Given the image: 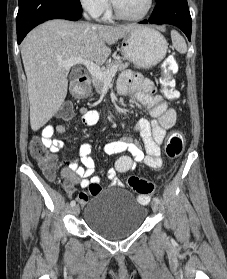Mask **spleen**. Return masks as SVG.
Here are the masks:
<instances>
[{
	"instance_id": "obj_1",
	"label": "spleen",
	"mask_w": 227,
	"mask_h": 279,
	"mask_svg": "<svg viewBox=\"0 0 227 279\" xmlns=\"http://www.w3.org/2000/svg\"><path fill=\"white\" fill-rule=\"evenodd\" d=\"M171 39H172L173 46L179 53L184 54L187 52L186 42L177 31L175 30L171 31Z\"/></svg>"
}]
</instances>
